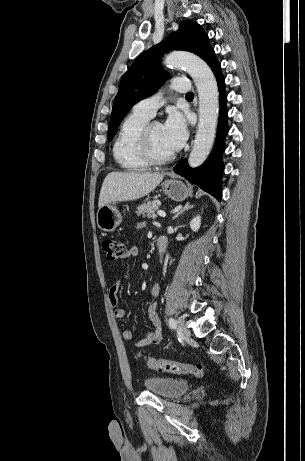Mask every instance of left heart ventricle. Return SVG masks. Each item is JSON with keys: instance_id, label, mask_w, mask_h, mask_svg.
I'll return each mask as SVG.
<instances>
[{"instance_id": "1", "label": "left heart ventricle", "mask_w": 305, "mask_h": 461, "mask_svg": "<svg viewBox=\"0 0 305 461\" xmlns=\"http://www.w3.org/2000/svg\"><path fill=\"white\" fill-rule=\"evenodd\" d=\"M151 144L153 151L157 156H166L173 153L165 143L163 137V127L161 124H157L152 128Z\"/></svg>"}]
</instances>
